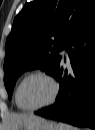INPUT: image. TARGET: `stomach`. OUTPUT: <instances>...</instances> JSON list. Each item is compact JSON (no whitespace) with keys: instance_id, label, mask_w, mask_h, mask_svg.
Wrapping results in <instances>:
<instances>
[{"instance_id":"0dacf381","label":"stomach","mask_w":95,"mask_h":130,"mask_svg":"<svg viewBox=\"0 0 95 130\" xmlns=\"http://www.w3.org/2000/svg\"><path fill=\"white\" fill-rule=\"evenodd\" d=\"M21 130H59V126L54 121L37 117L23 126Z\"/></svg>"}]
</instances>
